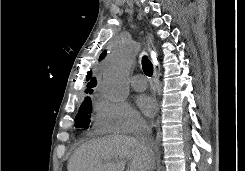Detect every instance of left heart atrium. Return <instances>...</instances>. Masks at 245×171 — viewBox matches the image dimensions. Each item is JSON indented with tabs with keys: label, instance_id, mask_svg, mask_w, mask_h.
Wrapping results in <instances>:
<instances>
[{
	"label": "left heart atrium",
	"instance_id": "obj_1",
	"mask_svg": "<svg viewBox=\"0 0 245 171\" xmlns=\"http://www.w3.org/2000/svg\"><path fill=\"white\" fill-rule=\"evenodd\" d=\"M137 105L145 115H152L156 110V101L148 95H139L137 97Z\"/></svg>",
	"mask_w": 245,
	"mask_h": 171
}]
</instances>
